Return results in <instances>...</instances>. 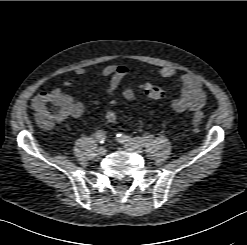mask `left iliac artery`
<instances>
[{
  "mask_svg": "<svg viewBox=\"0 0 247 245\" xmlns=\"http://www.w3.org/2000/svg\"><path fill=\"white\" fill-rule=\"evenodd\" d=\"M116 136L121 142L138 145L141 147L145 146L154 137V135H149V134H146L144 137H130L121 133L117 134Z\"/></svg>",
  "mask_w": 247,
  "mask_h": 245,
  "instance_id": "1",
  "label": "left iliac artery"
}]
</instances>
